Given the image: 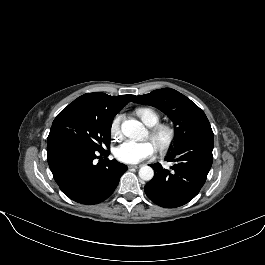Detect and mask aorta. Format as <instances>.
<instances>
[{
	"mask_svg": "<svg viewBox=\"0 0 265 265\" xmlns=\"http://www.w3.org/2000/svg\"><path fill=\"white\" fill-rule=\"evenodd\" d=\"M121 131L122 133L132 139H143L146 134V128L144 125L135 120V119H130V120H125L121 124ZM154 176V171L150 166H143L139 170V177L144 180V181H150Z\"/></svg>",
	"mask_w": 265,
	"mask_h": 265,
	"instance_id": "762f6f07",
	"label": "aorta"
}]
</instances>
